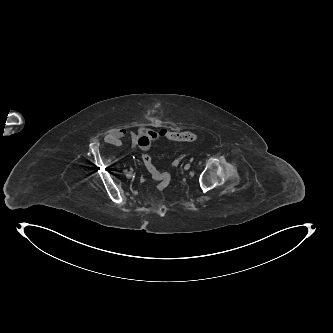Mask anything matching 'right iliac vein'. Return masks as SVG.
Segmentation results:
<instances>
[{
    "mask_svg": "<svg viewBox=\"0 0 333 333\" xmlns=\"http://www.w3.org/2000/svg\"><path fill=\"white\" fill-rule=\"evenodd\" d=\"M132 177V174L131 173H128L127 174V178H131Z\"/></svg>",
    "mask_w": 333,
    "mask_h": 333,
    "instance_id": "right-iliac-vein-1",
    "label": "right iliac vein"
}]
</instances>
